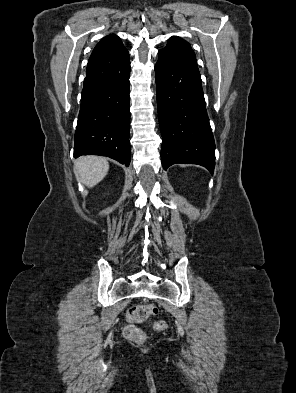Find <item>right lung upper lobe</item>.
I'll list each match as a JSON object with an SVG mask.
<instances>
[{
  "mask_svg": "<svg viewBox=\"0 0 296 393\" xmlns=\"http://www.w3.org/2000/svg\"><path fill=\"white\" fill-rule=\"evenodd\" d=\"M124 48L122 41L118 36L112 34L104 37L94 48L93 52H99L105 49Z\"/></svg>",
  "mask_w": 296,
  "mask_h": 393,
  "instance_id": "right-lung-upper-lobe-1",
  "label": "right lung upper lobe"
}]
</instances>
